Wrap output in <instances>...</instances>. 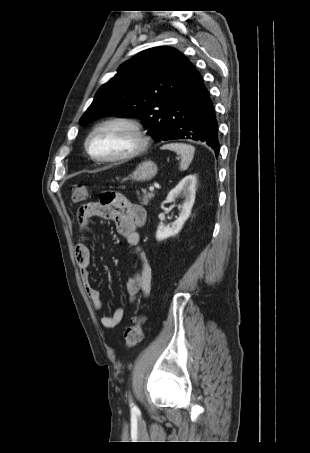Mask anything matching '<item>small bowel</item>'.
<instances>
[{
  "label": "small bowel",
  "mask_w": 310,
  "mask_h": 453,
  "mask_svg": "<svg viewBox=\"0 0 310 453\" xmlns=\"http://www.w3.org/2000/svg\"><path fill=\"white\" fill-rule=\"evenodd\" d=\"M92 217L114 220L118 233L126 239L141 261L140 270L126 283L129 302L132 303L139 297H147L151 291V268L141 248V238L137 231L146 221V211L140 205L130 202L119 194L112 193L109 202L104 203L101 200L88 202L77 211L78 230L81 237L75 246V259L81 273L84 289L94 308L101 310L103 302L99 291L93 287L90 280V251L84 239V234L88 230L89 221ZM124 314L123 308H117L112 315L102 317L101 324L106 329H113L122 322Z\"/></svg>",
  "instance_id": "small-bowel-1"
}]
</instances>
